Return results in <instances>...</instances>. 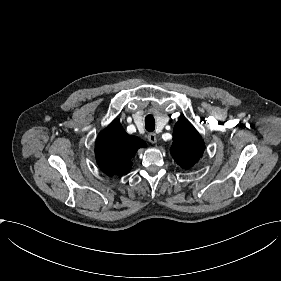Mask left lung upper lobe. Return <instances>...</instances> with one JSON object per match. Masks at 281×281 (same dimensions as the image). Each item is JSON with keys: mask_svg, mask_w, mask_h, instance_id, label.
Here are the masks:
<instances>
[{"mask_svg": "<svg viewBox=\"0 0 281 281\" xmlns=\"http://www.w3.org/2000/svg\"><path fill=\"white\" fill-rule=\"evenodd\" d=\"M204 151V142L193 125L180 119L173 130L172 153L178 165L184 169L191 168Z\"/></svg>", "mask_w": 281, "mask_h": 281, "instance_id": "obj_1", "label": "left lung upper lobe"}]
</instances>
